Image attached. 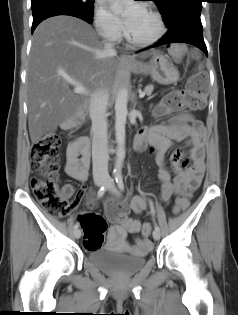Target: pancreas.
I'll list each match as a JSON object with an SVG mask.
<instances>
[{
    "mask_svg": "<svg viewBox=\"0 0 238 315\" xmlns=\"http://www.w3.org/2000/svg\"><path fill=\"white\" fill-rule=\"evenodd\" d=\"M153 90H154V85H152V84H150V85H147L146 87H145V94H147L148 96H150L151 95V93L153 92Z\"/></svg>",
    "mask_w": 238,
    "mask_h": 315,
    "instance_id": "obj_1",
    "label": "pancreas"
}]
</instances>
